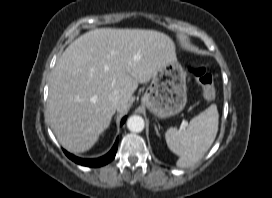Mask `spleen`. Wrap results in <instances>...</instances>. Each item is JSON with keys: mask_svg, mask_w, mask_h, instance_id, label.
Returning a JSON list of instances; mask_svg holds the SVG:
<instances>
[{"mask_svg": "<svg viewBox=\"0 0 272 198\" xmlns=\"http://www.w3.org/2000/svg\"><path fill=\"white\" fill-rule=\"evenodd\" d=\"M219 114L215 104L195 116L186 130L169 128L165 139L169 149L179 156L181 168L197 163L213 144L218 132Z\"/></svg>", "mask_w": 272, "mask_h": 198, "instance_id": "3e777b00", "label": "spleen"}]
</instances>
